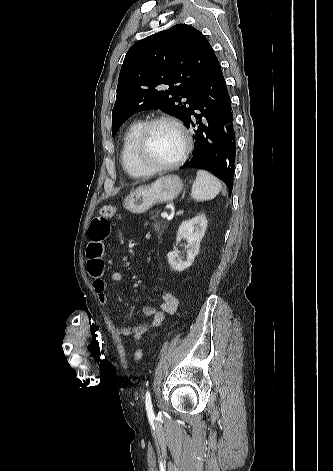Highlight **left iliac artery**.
Returning <instances> with one entry per match:
<instances>
[{"mask_svg":"<svg viewBox=\"0 0 333 471\" xmlns=\"http://www.w3.org/2000/svg\"><path fill=\"white\" fill-rule=\"evenodd\" d=\"M145 404H146V411H147L148 416L149 417L154 416L153 406H152L151 396H150V391L149 390H147L146 395H145Z\"/></svg>","mask_w":333,"mask_h":471,"instance_id":"1","label":"left iliac artery"}]
</instances>
